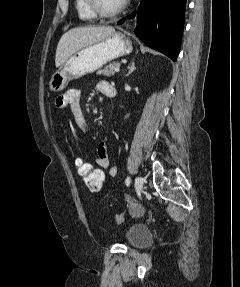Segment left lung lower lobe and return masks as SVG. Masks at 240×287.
I'll return each mask as SVG.
<instances>
[{"label": "left lung lower lobe", "instance_id": "left-lung-lower-lobe-1", "mask_svg": "<svg viewBox=\"0 0 240 287\" xmlns=\"http://www.w3.org/2000/svg\"><path fill=\"white\" fill-rule=\"evenodd\" d=\"M185 7L186 0H141L138 10L129 16L137 19L134 33L146 45L176 61L181 46Z\"/></svg>", "mask_w": 240, "mask_h": 287}]
</instances>
